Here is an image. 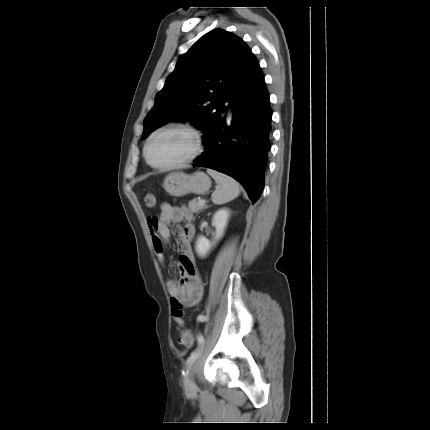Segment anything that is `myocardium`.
<instances>
[{
    "instance_id": "obj_1",
    "label": "myocardium",
    "mask_w": 430,
    "mask_h": 430,
    "mask_svg": "<svg viewBox=\"0 0 430 430\" xmlns=\"http://www.w3.org/2000/svg\"><path fill=\"white\" fill-rule=\"evenodd\" d=\"M172 129H179V130H184V131L189 132L194 137V140H195L194 150L188 157H186L185 159H183L179 162L169 164V165L155 164L154 162L151 161V159L149 157L150 144L156 136H158L159 134H161L165 131L172 130ZM203 150H204V140H203V135L199 129H197L196 127H194L190 124H186V123H172V124L166 125L160 129L156 130L155 132H153L148 137V139L144 145V157H145L146 162L151 167H153L155 169L172 170V169L184 167V166L190 164L191 162L195 161L203 153Z\"/></svg>"
}]
</instances>
